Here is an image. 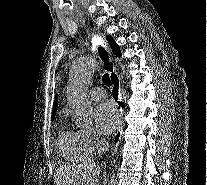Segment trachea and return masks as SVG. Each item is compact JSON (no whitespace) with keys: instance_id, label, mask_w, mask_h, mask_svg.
I'll return each mask as SVG.
<instances>
[{"instance_id":"1","label":"trachea","mask_w":207,"mask_h":185,"mask_svg":"<svg viewBox=\"0 0 207 185\" xmlns=\"http://www.w3.org/2000/svg\"><path fill=\"white\" fill-rule=\"evenodd\" d=\"M106 55L107 56V53L106 51L102 48V47H99V55L100 57L102 58V55ZM102 81L105 85H107L108 87L111 86V80L109 78V75L108 73L104 74L103 77H102Z\"/></svg>"}]
</instances>
